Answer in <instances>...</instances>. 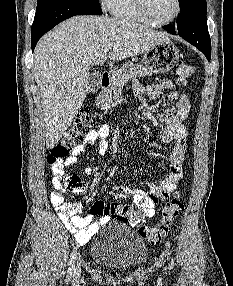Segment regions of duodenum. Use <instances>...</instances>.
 <instances>
[{
  "instance_id": "duodenum-1",
  "label": "duodenum",
  "mask_w": 233,
  "mask_h": 286,
  "mask_svg": "<svg viewBox=\"0 0 233 286\" xmlns=\"http://www.w3.org/2000/svg\"><path fill=\"white\" fill-rule=\"evenodd\" d=\"M110 73L109 72H103L100 78V87L102 89H106L110 85Z\"/></svg>"
}]
</instances>
